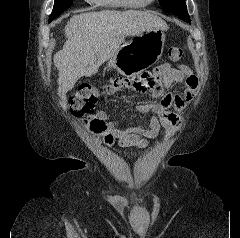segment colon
I'll list each match as a JSON object with an SVG mask.
<instances>
[{
    "mask_svg": "<svg viewBox=\"0 0 240 238\" xmlns=\"http://www.w3.org/2000/svg\"><path fill=\"white\" fill-rule=\"evenodd\" d=\"M182 56V50L178 47L170 48L168 57L171 61H178ZM103 92L102 88L91 84H82L75 91L70 100L71 112L76 117L88 116V125L95 134L106 133L107 127L104 120L94 117V107L97 97ZM110 142L112 137L109 134L105 136Z\"/></svg>",
    "mask_w": 240,
    "mask_h": 238,
    "instance_id": "5ec220e1",
    "label": "colon"
}]
</instances>
